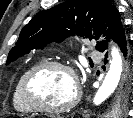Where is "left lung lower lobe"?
Returning a JSON list of instances; mask_svg holds the SVG:
<instances>
[{"mask_svg": "<svg viewBox=\"0 0 133 118\" xmlns=\"http://www.w3.org/2000/svg\"><path fill=\"white\" fill-rule=\"evenodd\" d=\"M111 38L118 44L126 60L125 75L120 88H129L131 90L133 82V50L130 46V42L126 39V34L122 24L115 29ZM106 49L107 46H105L101 52H104ZM105 56L107 58V53Z\"/></svg>", "mask_w": 133, "mask_h": 118, "instance_id": "obj_1", "label": "left lung lower lobe"}]
</instances>
